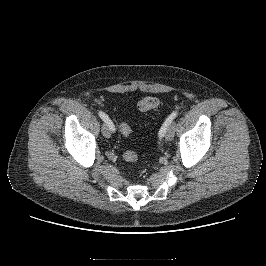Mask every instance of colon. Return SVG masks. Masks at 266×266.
I'll list each match as a JSON object with an SVG mask.
<instances>
[{
	"mask_svg": "<svg viewBox=\"0 0 266 266\" xmlns=\"http://www.w3.org/2000/svg\"><path fill=\"white\" fill-rule=\"evenodd\" d=\"M158 107H159V100L154 96H146L138 102V109L143 112L155 110ZM119 129L122 135L126 137H129L132 134L131 127L125 122L119 125ZM123 158L125 161L129 163H133L138 160V155L134 151H126L123 154Z\"/></svg>",
	"mask_w": 266,
	"mask_h": 266,
	"instance_id": "colon-1",
	"label": "colon"
}]
</instances>
